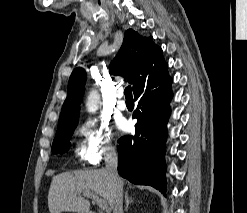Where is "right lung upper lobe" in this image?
Here are the masks:
<instances>
[{"instance_id":"right-lung-upper-lobe-1","label":"right lung upper lobe","mask_w":247,"mask_h":213,"mask_svg":"<svg viewBox=\"0 0 247 213\" xmlns=\"http://www.w3.org/2000/svg\"><path fill=\"white\" fill-rule=\"evenodd\" d=\"M152 39L143 37L132 29L127 30L123 44L110 65L111 73L128 78V82L133 86V92L167 68L162 49L152 42ZM85 81L86 75L82 68L72 72L58 128L77 125Z\"/></svg>"}]
</instances>
